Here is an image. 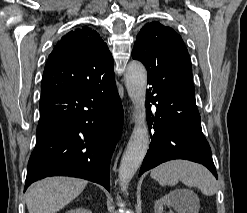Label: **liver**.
<instances>
[{"label": "liver", "mask_w": 247, "mask_h": 213, "mask_svg": "<svg viewBox=\"0 0 247 213\" xmlns=\"http://www.w3.org/2000/svg\"><path fill=\"white\" fill-rule=\"evenodd\" d=\"M87 185L86 180L50 177L33 184L26 194L29 213H56L75 199Z\"/></svg>", "instance_id": "liver-1"}]
</instances>
